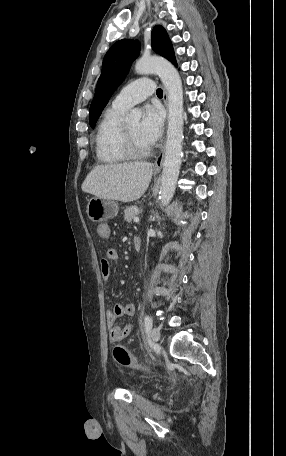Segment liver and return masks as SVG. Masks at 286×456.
Returning <instances> with one entry per match:
<instances>
[{
    "instance_id": "liver-1",
    "label": "liver",
    "mask_w": 286,
    "mask_h": 456,
    "mask_svg": "<svg viewBox=\"0 0 286 456\" xmlns=\"http://www.w3.org/2000/svg\"><path fill=\"white\" fill-rule=\"evenodd\" d=\"M152 166V163L138 161L99 165L87 175L81 188L98 198L132 202L147 190Z\"/></svg>"
}]
</instances>
